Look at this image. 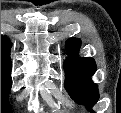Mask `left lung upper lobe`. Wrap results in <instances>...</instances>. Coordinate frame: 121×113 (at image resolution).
I'll return each instance as SVG.
<instances>
[{"label":"left lung upper lobe","instance_id":"1","mask_svg":"<svg viewBox=\"0 0 121 113\" xmlns=\"http://www.w3.org/2000/svg\"><path fill=\"white\" fill-rule=\"evenodd\" d=\"M80 44L81 41L76 38L67 41V48L71 54L65 62V88L77 103L90 110L99 99L98 87L91 80L96 71V64L93 58H79L76 55Z\"/></svg>","mask_w":121,"mask_h":113}]
</instances>
